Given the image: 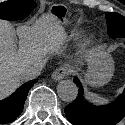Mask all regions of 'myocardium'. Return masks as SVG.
Instances as JSON below:
<instances>
[{
    "mask_svg": "<svg viewBox=\"0 0 125 125\" xmlns=\"http://www.w3.org/2000/svg\"><path fill=\"white\" fill-rule=\"evenodd\" d=\"M94 44V39L93 38H87L86 40H84L78 48V55H82L84 54V52L91 47Z\"/></svg>",
    "mask_w": 125,
    "mask_h": 125,
    "instance_id": "f54148a6",
    "label": "myocardium"
}]
</instances>
